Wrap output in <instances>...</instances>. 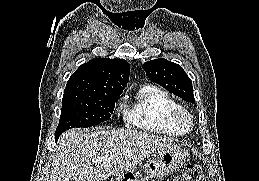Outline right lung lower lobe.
Returning <instances> with one entry per match:
<instances>
[{
	"instance_id": "98d812e1",
	"label": "right lung lower lobe",
	"mask_w": 259,
	"mask_h": 181,
	"mask_svg": "<svg viewBox=\"0 0 259 181\" xmlns=\"http://www.w3.org/2000/svg\"><path fill=\"white\" fill-rule=\"evenodd\" d=\"M59 136H60V135H59ZM59 136H56V137H55V141H56V142H57V140H58Z\"/></svg>"
}]
</instances>
